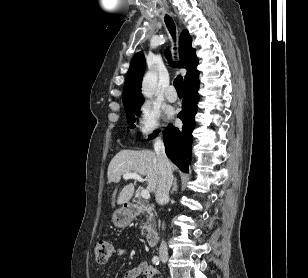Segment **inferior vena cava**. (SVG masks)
I'll return each mask as SVG.
<instances>
[{"instance_id":"602c4592","label":"inferior vena cava","mask_w":308,"mask_h":278,"mask_svg":"<svg viewBox=\"0 0 308 278\" xmlns=\"http://www.w3.org/2000/svg\"><path fill=\"white\" fill-rule=\"evenodd\" d=\"M154 150L158 160L160 177L158 180L155 197L158 204L163 205L169 201V191L173 182L171 163L166 156L165 146L161 138H157L154 143ZM164 229V224L162 225ZM160 253H167V245L162 241L159 248Z\"/></svg>"}]
</instances>
